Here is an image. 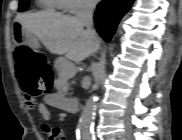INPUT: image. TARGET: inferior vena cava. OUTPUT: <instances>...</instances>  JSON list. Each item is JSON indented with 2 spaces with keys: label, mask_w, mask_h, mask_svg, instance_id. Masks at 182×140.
<instances>
[{
  "label": "inferior vena cava",
  "mask_w": 182,
  "mask_h": 140,
  "mask_svg": "<svg viewBox=\"0 0 182 140\" xmlns=\"http://www.w3.org/2000/svg\"><path fill=\"white\" fill-rule=\"evenodd\" d=\"M96 4L97 3L95 0H82L76 15V19L86 27V31L91 36V39L94 43V48L92 50L93 54L99 49L98 37L93 29V12L96 8Z\"/></svg>",
  "instance_id": "obj_1"
}]
</instances>
